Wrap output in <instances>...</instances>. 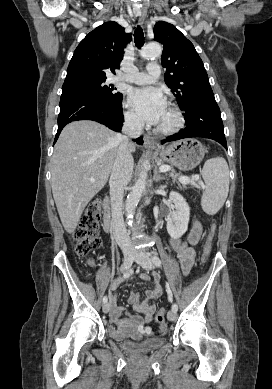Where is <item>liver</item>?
<instances>
[{
    "label": "liver",
    "mask_w": 272,
    "mask_h": 389,
    "mask_svg": "<svg viewBox=\"0 0 272 389\" xmlns=\"http://www.w3.org/2000/svg\"><path fill=\"white\" fill-rule=\"evenodd\" d=\"M118 148L119 134L94 121L72 122L62 130L51 161L52 193L68 233L106 185ZM129 149L134 152L135 144L129 143Z\"/></svg>",
    "instance_id": "1"
}]
</instances>
